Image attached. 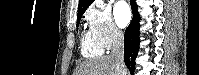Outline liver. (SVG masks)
Listing matches in <instances>:
<instances>
[{
    "mask_svg": "<svg viewBox=\"0 0 199 75\" xmlns=\"http://www.w3.org/2000/svg\"><path fill=\"white\" fill-rule=\"evenodd\" d=\"M74 75H117L115 60L111 56L85 60L77 67Z\"/></svg>",
    "mask_w": 199,
    "mask_h": 75,
    "instance_id": "1",
    "label": "liver"
}]
</instances>
